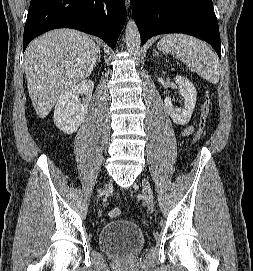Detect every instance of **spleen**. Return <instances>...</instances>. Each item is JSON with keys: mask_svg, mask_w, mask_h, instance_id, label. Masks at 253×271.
Masks as SVG:
<instances>
[{"mask_svg": "<svg viewBox=\"0 0 253 271\" xmlns=\"http://www.w3.org/2000/svg\"><path fill=\"white\" fill-rule=\"evenodd\" d=\"M157 47L163 53L176 54L182 63L212 84L219 81V61L212 49L203 41L184 34H168Z\"/></svg>", "mask_w": 253, "mask_h": 271, "instance_id": "3e777b00", "label": "spleen"}]
</instances>
